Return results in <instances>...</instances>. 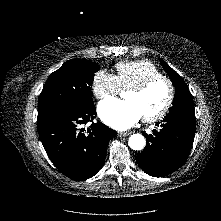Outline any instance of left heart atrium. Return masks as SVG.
Returning <instances> with one entry per match:
<instances>
[{
    "label": "left heart atrium",
    "mask_w": 221,
    "mask_h": 221,
    "mask_svg": "<svg viewBox=\"0 0 221 221\" xmlns=\"http://www.w3.org/2000/svg\"><path fill=\"white\" fill-rule=\"evenodd\" d=\"M98 115L108 126L126 130L142 117L137 106L129 100L107 99L98 105Z\"/></svg>",
    "instance_id": "39dd6f15"
}]
</instances>
